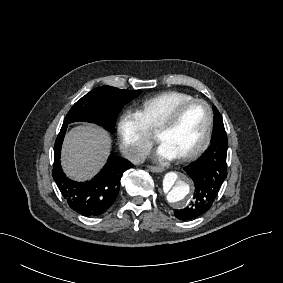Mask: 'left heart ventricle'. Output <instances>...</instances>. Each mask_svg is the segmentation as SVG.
<instances>
[{"mask_svg": "<svg viewBox=\"0 0 283 283\" xmlns=\"http://www.w3.org/2000/svg\"><path fill=\"white\" fill-rule=\"evenodd\" d=\"M207 126V111L202 104L190 105L175 125L163 131L159 138L176 157L193 150L202 140Z\"/></svg>", "mask_w": 283, "mask_h": 283, "instance_id": "obj_1", "label": "left heart ventricle"}]
</instances>
